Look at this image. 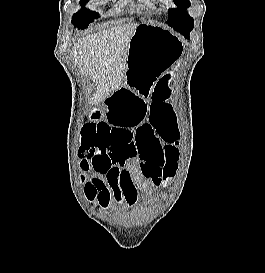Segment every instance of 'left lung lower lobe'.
I'll return each instance as SVG.
<instances>
[{
  "label": "left lung lower lobe",
  "mask_w": 265,
  "mask_h": 273,
  "mask_svg": "<svg viewBox=\"0 0 265 273\" xmlns=\"http://www.w3.org/2000/svg\"><path fill=\"white\" fill-rule=\"evenodd\" d=\"M177 32H179L180 34H182L185 38L189 39V31H177Z\"/></svg>",
  "instance_id": "obj_1"
}]
</instances>
